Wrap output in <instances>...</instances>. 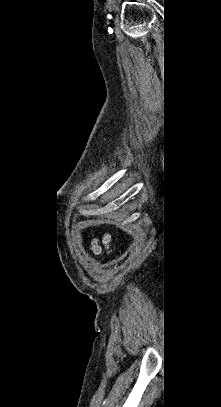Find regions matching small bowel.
<instances>
[{
    "label": "small bowel",
    "instance_id": "1",
    "mask_svg": "<svg viewBox=\"0 0 221 407\" xmlns=\"http://www.w3.org/2000/svg\"><path fill=\"white\" fill-rule=\"evenodd\" d=\"M110 238L108 235H105L102 238V241L99 242L98 240L94 239L92 242V249L95 253L100 254L104 248H107L109 244Z\"/></svg>",
    "mask_w": 221,
    "mask_h": 407
}]
</instances>
